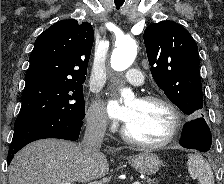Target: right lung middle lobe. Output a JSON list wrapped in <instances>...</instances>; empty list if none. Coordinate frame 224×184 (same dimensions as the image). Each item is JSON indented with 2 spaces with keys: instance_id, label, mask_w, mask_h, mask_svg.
<instances>
[{
  "instance_id": "right-lung-middle-lobe-1",
  "label": "right lung middle lobe",
  "mask_w": 224,
  "mask_h": 184,
  "mask_svg": "<svg viewBox=\"0 0 224 184\" xmlns=\"http://www.w3.org/2000/svg\"><path fill=\"white\" fill-rule=\"evenodd\" d=\"M83 82L35 81L25 84L14 130L41 119L81 121L85 117Z\"/></svg>"
}]
</instances>
